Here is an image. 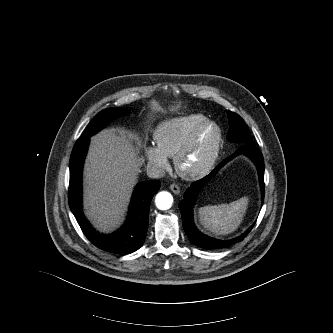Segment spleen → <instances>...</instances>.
<instances>
[{
	"mask_svg": "<svg viewBox=\"0 0 333 333\" xmlns=\"http://www.w3.org/2000/svg\"><path fill=\"white\" fill-rule=\"evenodd\" d=\"M249 203L244 196L229 204L207 205L198 209L200 223L215 235L234 232L242 223Z\"/></svg>",
	"mask_w": 333,
	"mask_h": 333,
	"instance_id": "spleen-1",
	"label": "spleen"
}]
</instances>
